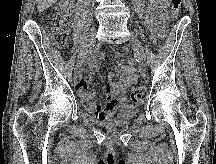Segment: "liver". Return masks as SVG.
<instances>
[{
  "mask_svg": "<svg viewBox=\"0 0 216 164\" xmlns=\"http://www.w3.org/2000/svg\"><path fill=\"white\" fill-rule=\"evenodd\" d=\"M57 0H37L38 3V11L43 12L45 9L51 7L53 4H55Z\"/></svg>",
  "mask_w": 216,
  "mask_h": 164,
  "instance_id": "liver-1",
  "label": "liver"
}]
</instances>
